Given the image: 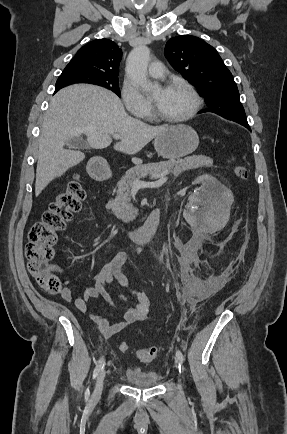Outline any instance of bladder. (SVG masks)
<instances>
[{"label": "bladder", "mask_w": 287, "mask_h": 434, "mask_svg": "<svg viewBox=\"0 0 287 434\" xmlns=\"http://www.w3.org/2000/svg\"><path fill=\"white\" fill-rule=\"evenodd\" d=\"M122 377L129 385L135 387H154L161 382V376L155 370H144L138 366H129Z\"/></svg>", "instance_id": "31cf9c89"}]
</instances>
